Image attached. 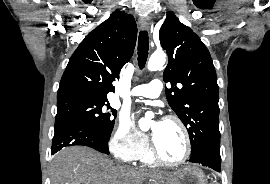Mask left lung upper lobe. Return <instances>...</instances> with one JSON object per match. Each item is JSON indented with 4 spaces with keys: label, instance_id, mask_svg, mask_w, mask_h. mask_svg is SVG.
<instances>
[{
    "label": "left lung upper lobe",
    "instance_id": "1",
    "mask_svg": "<svg viewBox=\"0 0 270 184\" xmlns=\"http://www.w3.org/2000/svg\"><path fill=\"white\" fill-rule=\"evenodd\" d=\"M159 39L169 58L163 79L173 82L166 97L187 127L192 156L202 144H220L215 68L200 38L173 13H168Z\"/></svg>",
    "mask_w": 270,
    "mask_h": 184
}]
</instances>
